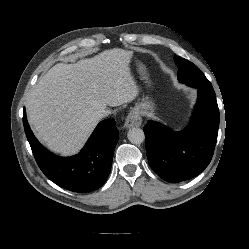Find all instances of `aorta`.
Here are the masks:
<instances>
[{"mask_svg": "<svg viewBox=\"0 0 249 249\" xmlns=\"http://www.w3.org/2000/svg\"><path fill=\"white\" fill-rule=\"evenodd\" d=\"M129 141L133 144H141L145 140V135L142 129L133 127L127 133Z\"/></svg>", "mask_w": 249, "mask_h": 249, "instance_id": "obj_1", "label": "aorta"}]
</instances>
